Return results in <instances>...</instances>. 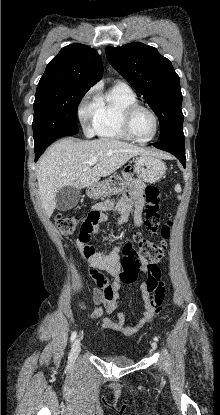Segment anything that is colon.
Listing matches in <instances>:
<instances>
[{
  "label": "colon",
  "mask_w": 220,
  "mask_h": 415,
  "mask_svg": "<svg viewBox=\"0 0 220 415\" xmlns=\"http://www.w3.org/2000/svg\"><path fill=\"white\" fill-rule=\"evenodd\" d=\"M147 206L145 209V226L150 233H160L162 241L153 243L140 234L134 236V242L125 244L120 261V280L122 283L133 284L139 275L140 261L148 262L147 280L145 289L149 294V300L155 308H164L168 301L167 290L161 280L158 263L167 252V240L171 234L172 222L167 221L163 225L159 223V205L161 194L159 188L148 186L145 189ZM95 219V215L89 216V220ZM54 224L63 235L73 234L77 229L87 232L86 223L81 224L75 217L58 214L54 218Z\"/></svg>",
  "instance_id": "obj_1"
}]
</instances>
